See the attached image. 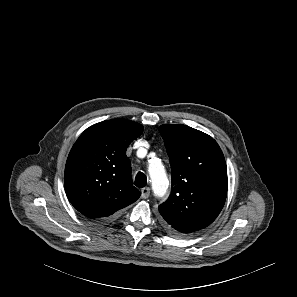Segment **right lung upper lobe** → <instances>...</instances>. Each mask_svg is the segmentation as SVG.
<instances>
[{
  "label": "right lung upper lobe",
  "mask_w": 297,
  "mask_h": 297,
  "mask_svg": "<svg viewBox=\"0 0 297 297\" xmlns=\"http://www.w3.org/2000/svg\"><path fill=\"white\" fill-rule=\"evenodd\" d=\"M143 126L126 119L87 128L73 145L65 167V190L71 204L91 219L111 218L141 195L131 180L126 156Z\"/></svg>",
  "instance_id": "cb5924a9"
}]
</instances>
